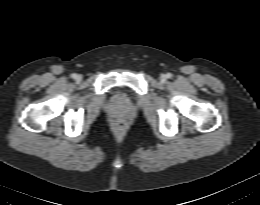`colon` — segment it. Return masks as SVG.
<instances>
[{
	"mask_svg": "<svg viewBox=\"0 0 260 205\" xmlns=\"http://www.w3.org/2000/svg\"><path fill=\"white\" fill-rule=\"evenodd\" d=\"M118 128H122L123 127V124L122 123H118Z\"/></svg>",
	"mask_w": 260,
	"mask_h": 205,
	"instance_id": "colon-1",
	"label": "colon"
}]
</instances>
